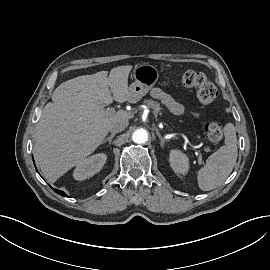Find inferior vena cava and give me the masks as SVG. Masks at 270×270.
<instances>
[{
    "instance_id": "1",
    "label": "inferior vena cava",
    "mask_w": 270,
    "mask_h": 270,
    "mask_svg": "<svg viewBox=\"0 0 270 270\" xmlns=\"http://www.w3.org/2000/svg\"><path fill=\"white\" fill-rule=\"evenodd\" d=\"M128 120H120L111 125L110 131L112 133H118L125 130L128 126Z\"/></svg>"
}]
</instances>
